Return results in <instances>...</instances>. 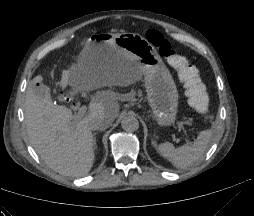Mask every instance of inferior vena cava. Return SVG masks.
Segmentation results:
<instances>
[{"mask_svg": "<svg viewBox=\"0 0 254 216\" xmlns=\"http://www.w3.org/2000/svg\"><path fill=\"white\" fill-rule=\"evenodd\" d=\"M111 122L106 119L104 116H95L91 118L89 122V127L91 130H105L106 128L109 127Z\"/></svg>", "mask_w": 254, "mask_h": 216, "instance_id": "1", "label": "inferior vena cava"}]
</instances>
